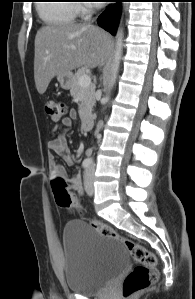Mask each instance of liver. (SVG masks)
<instances>
[{"label": "liver", "mask_w": 195, "mask_h": 299, "mask_svg": "<svg viewBox=\"0 0 195 299\" xmlns=\"http://www.w3.org/2000/svg\"><path fill=\"white\" fill-rule=\"evenodd\" d=\"M111 49V37L96 26L73 22L47 25L35 37L34 79L39 94L60 74L82 66L99 67Z\"/></svg>", "instance_id": "1"}]
</instances>
